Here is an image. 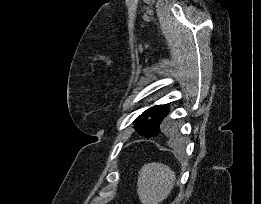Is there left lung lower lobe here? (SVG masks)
<instances>
[{"label": "left lung lower lobe", "instance_id": "obj_1", "mask_svg": "<svg viewBox=\"0 0 261 204\" xmlns=\"http://www.w3.org/2000/svg\"><path fill=\"white\" fill-rule=\"evenodd\" d=\"M163 132H165V133H167V134H169L171 136L174 134L173 131H170V127H168L167 124H165V126L163 128Z\"/></svg>", "mask_w": 261, "mask_h": 204}]
</instances>
